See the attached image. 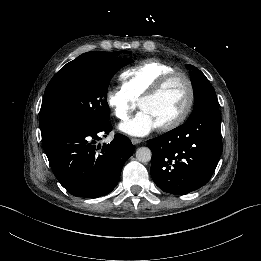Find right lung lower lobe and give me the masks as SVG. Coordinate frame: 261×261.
Instances as JSON below:
<instances>
[{"label":"right lung lower lobe","mask_w":261,"mask_h":261,"mask_svg":"<svg viewBox=\"0 0 261 261\" xmlns=\"http://www.w3.org/2000/svg\"><path fill=\"white\" fill-rule=\"evenodd\" d=\"M111 122L92 128H61L42 140L52 171L73 196L97 198L117 185L124 163L134 149L128 137L116 134L110 144L98 145Z\"/></svg>","instance_id":"obj_1"}]
</instances>
